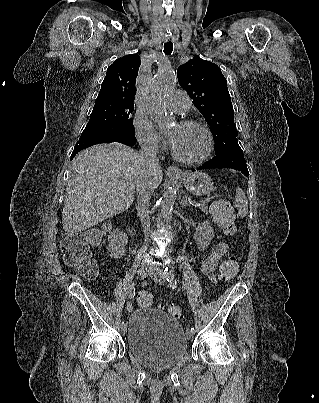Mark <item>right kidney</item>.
I'll list each match as a JSON object with an SVG mask.
<instances>
[{"instance_id": "1", "label": "right kidney", "mask_w": 319, "mask_h": 403, "mask_svg": "<svg viewBox=\"0 0 319 403\" xmlns=\"http://www.w3.org/2000/svg\"><path fill=\"white\" fill-rule=\"evenodd\" d=\"M109 245L107 247L109 255L113 259H119L125 254V247L128 242V237L120 229H115L108 236Z\"/></svg>"}]
</instances>
